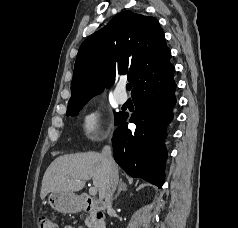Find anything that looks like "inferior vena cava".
Returning a JSON list of instances; mask_svg holds the SVG:
<instances>
[{
  "label": "inferior vena cava",
  "mask_w": 238,
  "mask_h": 228,
  "mask_svg": "<svg viewBox=\"0 0 238 228\" xmlns=\"http://www.w3.org/2000/svg\"><path fill=\"white\" fill-rule=\"evenodd\" d=\"M102 156L104 158L105 165L108 169V181L105 189V203L107 206V211L110 213L112 209V197L113 193L116 189V186L118 184V173L116 170V164L114 162V159L112 157V151L111 147L106 145L102 149Z\"/></svg>",
  "instance_id": "obj_1"
}]
</instances>
